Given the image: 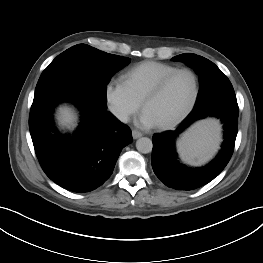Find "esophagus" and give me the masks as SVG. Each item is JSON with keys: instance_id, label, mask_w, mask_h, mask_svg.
I'll return each instance as SVG.
<instances>
[{"instance_id": "1", "label": "esophagus", "mask_w": 263, "mask_h": 263, "mask_svg": "<svg viewBox=\"0 0 263 263\" xmlns=\"http://www.w3.org/2000/svg\"><path fill=\"white\" fill-rule=\"evenodd\" d=\"M132 136L134 139H138L142 136V133L137 130H132Z\"/></svg>"}]
</instances>
